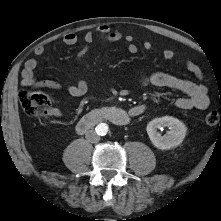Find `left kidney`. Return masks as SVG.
<instances>
[{"label": "left kidney", "mask_w": 221, "mask_h": 221, "mask_svg": "<svg viewBox=\"0 0 221 221\" xmlns=\"http://www.w3.org/2000/svg\"><path fill=\"white\" fill-rule=\"evenodd\" d=\"M161 127H169L167 135L161 136L157 131ZM147 134L152 144L161 150H169L179 146L187 132V127L183 122L172 116L155 118L147 124Z\"/></svg>", "instance_id": "1"}]
</instances>
